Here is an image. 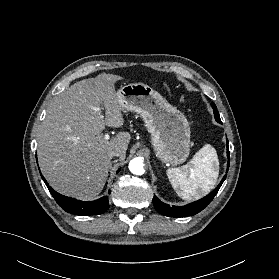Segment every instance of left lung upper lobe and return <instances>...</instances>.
I'll return each mask as SVG.
<instances>
[{"label":"left lung upper lobe","instance_id":"1","mask_svg":"<svg viewBox=\"0 0 279 279\" xmlns=\"http://www.w3.org/2000/svg\"><path fill=\"white\" fill-rule=\"evenodd\" d=\"M212 107L214 109V114H215L216 121L219 122V123H222L221 119H220V116H219V113L217 111V107H216V105L214 103H212Z\"/></svg>","mask_w":279,"mask_h":279}]
</instances>
